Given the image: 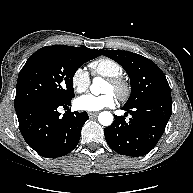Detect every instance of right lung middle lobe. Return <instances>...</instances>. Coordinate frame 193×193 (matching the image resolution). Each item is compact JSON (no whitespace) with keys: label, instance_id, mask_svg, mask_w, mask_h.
Listing matches in <instances>:
<instances>
[{"label":"right lung middle lobe","instance_id":"dd1d6c3e","mask_svg":"<svg viewBox=\"0 0 193 193\" xmlns=\"http://www.w3.org/2000/svg\"><path fill=\"white\" fill-rule=\"evenodd\" d=\"M96 58L65 47L46 46L29 57L16 85L15 110L41 99L70 102L73 76L85 62Z\"/></svg>","mask_w":193,"mask_h":193}]
</instances>
